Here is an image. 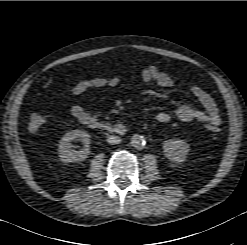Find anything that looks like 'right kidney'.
<instances>
[{
	"mask_svg": "<svg viewBox=\"0 0 247 245\" xmlns=\"http://www.w3.org/2000/svg\"><path fill=\"white\" fill-rule=\"evenodd\" d=\"M79 140L83 143L80 150L72 149L71 142ZM90 135L86 131L72 130L66 133L59 142L58 153L64 163L84 161L90 155Z\"/></svg>",
	"mask_w": 247,
	"mask_h": 245,
	"instance_id": "right-kidney-1",
	"label": "right kidney"
}]
</instances>
